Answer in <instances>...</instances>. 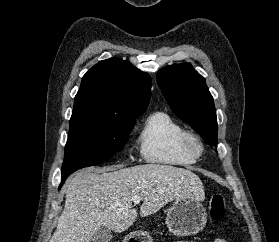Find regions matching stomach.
<instances>
[{"instance_id": "stomach-1", "label": "stomach", "mask_w": 279, "mask_h": 242, "mask_svg": "<svg viewBox=\"0 0 279 242\" xmlns=\"http://www.w3.org/2000/svg\"><path fill=\"white\" fill-rule=\"evenodd\" d=\"M207 223V212L199 200L192 197L176 199L167 211L166 224L169 231L178 237L195 235ZM132 241L151 242L150 236L137 231L129 236Z\"/></svg>"}]
</instances>
